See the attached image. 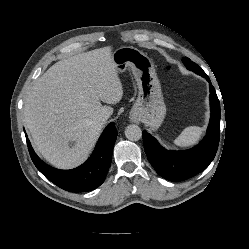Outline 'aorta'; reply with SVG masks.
<instances>
[{
  "mask_svg": "<svg viewBox=\"0 0 249 249\" xmlns=\"http://www.w3.org/2000/svg\"><path fill=\"white\" fill-rule=\"evenodd\" d=\"M125 136L130 141H138L142 137L141 128L138 125H128L125 129Z\"/></svg>",
  "mask_w": 249,
  "mask_h": 249,
  "instance_id": "obj_1",
  "label": "aorta"
}]
</instances>
